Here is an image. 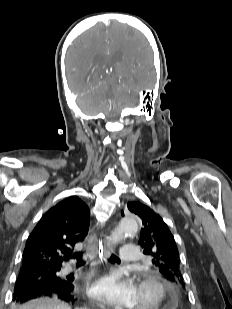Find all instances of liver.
I'll list each match as a JSON object with an SVG mask.
<instances>
[{
  "label": "liver",
  "mask_w": 232,
  "mask_h": 309,
  "mask_svg": "<svg viewBox=\"0 0 232 309\" xmlns=\"http://www.w3.org/2000/svg\"><path fill=\"white\" fill-rule=\"evenodd\" d=\"M18 309H71V307L57 299L39 298L27 302Z\"/></svg>",
  "instance_id": "6515ba94"
}]
</instances>
